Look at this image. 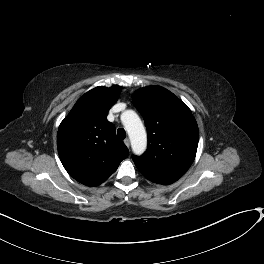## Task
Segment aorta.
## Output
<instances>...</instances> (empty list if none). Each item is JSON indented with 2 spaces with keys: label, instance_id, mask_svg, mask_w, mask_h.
<instances>
[{
  "label": "aorta",
  "instance_id": "aorta-1",
  "mask_svg": "<svg viewBox=\"0 0 264 264\" xmlns=\"http://www.w3.org/2000/svg\"><path fill=\"white\" fill-rule=\"evenodd\" d=\"M121 120L128 132L133 152L141 155L147 147V134L141 119L133 110H126Z\"/></svg>",
  "mask_w": 264,
  "mask_h": 264
}]
</instances>
